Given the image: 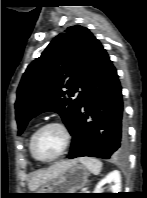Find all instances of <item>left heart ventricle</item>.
I'll return each mask as SVG.
<instances>
[{
	"mask_svg": "<svg viewBox=\"0 0 147 198\" xmlns=\"http://www.w3.org/2000/svg\"><path fill=\"white\" fill-rule=\"evenodd\" d=\"M64 144L62 131L49 127L41 131L35 140V151L41 158H50L60 152Z\"/></svg>",
	"mask_w": 147,
	"mask_h": 198,
	"instance_id": "left-heart-ventricle-1",
	"label": "left heart ventricle"
}]
</instances>
